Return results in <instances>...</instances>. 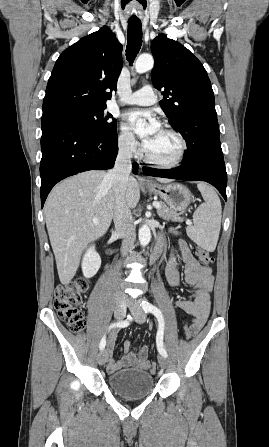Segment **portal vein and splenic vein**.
<instances>
[{
  "instance_id": "obj_1",
  "label": "portal vein and splenic vein",
  "mask_w": 269,
  "mask_h": 447,
  "mask_svg": "<svg viewBox=\"0 0 269 447\" xmlns=\"http://www.w3.org/2000/svg\"><path fill=\"white\" fill-rule=\"evenodd\" d=\"M153 206H154V208H161L159 202H153ZM92 222H94V224H98V220H92ZM186 224L190 225V224H192V222H189V220H186Z\"/></svg>"
}]
</instances>
